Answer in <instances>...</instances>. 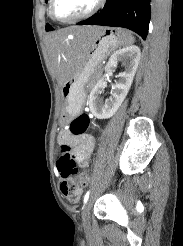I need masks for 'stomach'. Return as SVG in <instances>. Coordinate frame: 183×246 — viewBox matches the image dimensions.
<instances>
[{
    "mask_svg": "<svg viewBox=\"0 0 183 246\" xmlns=\"http://www.w3.org/2000/svg\"><path fill=\"white\" fill-rule=\"evenodd\" d=\"M123 43L124 33L121 29L102 28L91 42L84 45L81 61L75 66V73L62 86L64 123L81 111L86 95V84L96 65Z\"/></svg>",
    "mask_w": 183,
    "mask_h": 246,
    "instance_id": "stomach-1",
    "label": "stomach"
}]
</instances>
